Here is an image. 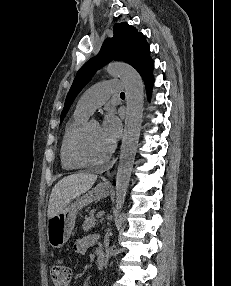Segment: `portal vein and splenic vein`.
Segmentation results:
<instances>
[{
	"label": "portal vein and splenic vein",
	"instance_id": "18ae733b",
	"mask_svg": "<svg viewBox=\"0 0 231 286\" xmlns=\"http://www.w3.org/2000/svg\"><path fill=\"white\" fill-rule=\"evenodd\" d=\"M104 215V211H99L97 213V218H101Z\"/></svg>",
	"mask_w": 231,
	"mask_h": 286
}]
</instances>
